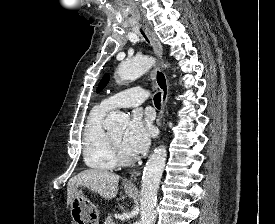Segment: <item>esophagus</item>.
Listing matches in <instances>:
<instances>
[{
	"mask_svg": "<svg viewBox=\"0 0 275 224\" xmlns=\"http://www.w3.org/2000/svg\"><path fill=\"white\" fill-rule=\"evenodd\" d=\"M145 30V34L149 40V42L151 43L155 54L157 55L158 59L162 58L163 55V48L162 45L159 41V39L157 38V36L147 27H144ZM155 80L156 83L161 91V110L158 114L157 117V125L159 127V129L161 128V123H162V118H163V114H164V110L166 107V103L168 100V80L167 77L164 73V71L160 68L157 67L155 69ZM139 171H133L130 175V178L125 180V185L129 188H135V181L137 179V177L139 176Z\"/></svg>",
	"mask_w": 275,
	"mask_h": 224,
	"instance_id": "1",
	"label": "esophagus"
}]
</instances>
